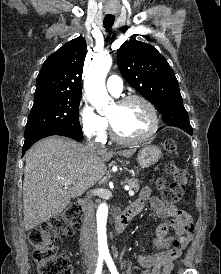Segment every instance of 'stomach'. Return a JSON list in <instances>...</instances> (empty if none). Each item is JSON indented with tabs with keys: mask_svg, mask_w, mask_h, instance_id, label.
Here are the masks:
<instances>
[{
	"mask_svg": "<svg viewBox=\"0 0 221 274\" xmlns=\"http://www.w3.org/2000/svg\"><path fill=\"white\" fill-rule=\"evenodd\" d=\"M161 149L156 145H145L137 155V161L142 168H147L159 161L161 158Z\"/></svg>",
	"mask_w": 221,
	"mask_h": 274,
	"instance_id": "0dacf381",
	"label": "stomach"
}]
</instances>
